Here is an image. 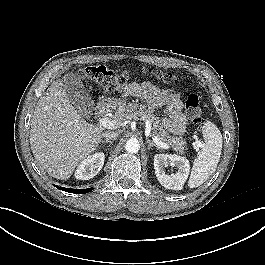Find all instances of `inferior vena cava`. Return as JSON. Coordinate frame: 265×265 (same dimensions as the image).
I'll use <instances>...</instances> for the list:
<instances>
[{
    "label": "inferior vena cava",
    "instance_id": "602c4592",
    "mask_svg": "<svg viewBox=\"0 0 265 265\" xmlns=\"http://www.w3.org/2000/svg\"><path fill=\"white\" fill-rule=\"evenodd\" d=\"M102 136L106 140H116L118 138V133L117 132H105L102 134Z\"/></svg>",
    "mask_w": 265,
    "mask_h": 265
}]
</instances>
